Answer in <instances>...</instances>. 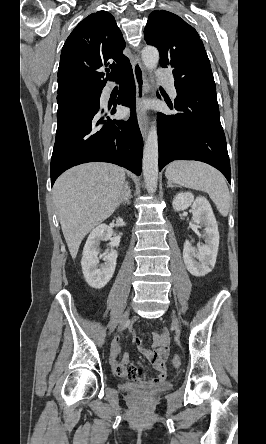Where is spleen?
<instances>
[{"label":"spleen","mask_w":266,"mask_h":444,"mask_svg":"<svg viewBox=\"0 0 266 444\" xmlns=\"http://www.w3.org/2000/svg\"><path fill=\"white\" fill-rule=\"evenodd\" d=\"M169 181L186 188L209 194L219 213L226 217L230 207V194L224 176L213 167L198 161L177 160L166 169Z\"/></svg>","instance_id":"spleen-1"}]
</instances>
